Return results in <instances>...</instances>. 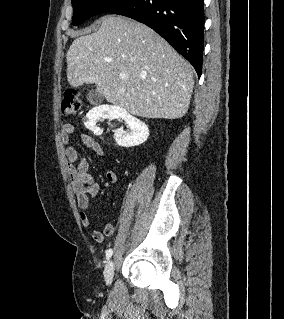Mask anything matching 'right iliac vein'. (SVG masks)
Wrapping results in <instances>:
<instances>
[{"instance_id":"1","label":"right iliac vein","mask_w":284,"mask_h":319,"mask_svg":"<svg viewBox=\"0 0 284 319\" xmlns=\"http://www.w3.org/2000/svg\"><path fill=\"white\" fill-rule=\"evenodd\" d=\"M114 268H115L114 262L112 260H109L104 270V279L107 285H111L113 281Z\"/></svg>"}]
</instances>
